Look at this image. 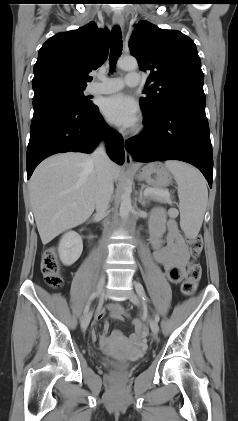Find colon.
<instances>
[{"instance_id":"5ec220e1","label":"colon","mask_w":238,"mask_h":421,"mask_svg":"<svg viewBox=\"0 0 238 421\" xmlns=\"http://www.w3.org/2000/svg\"><path fill=\"white\" fill-rule=\"evenodd\" d=\"M193 258H197L202 251V238L200 236L190 237L188 239ZM41 271L46 283L58 289L63 284L61 266L59 264L54 249H48L44 252L41 260ZM201 278V266L196 261L190 263L187 269L186 277L181 285V291L184 296H190L197 288Z\"/></svg>"}]
</instances>
